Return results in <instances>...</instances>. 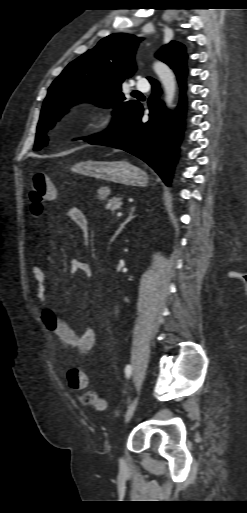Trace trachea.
Returning <instances> with one entry per match:
<instances>
[{
  "mask_svg": "<svg viewBox=\"0 0 247 513\" xmlns=\"http://www.w3.org/2000/svg\"><path fill=\"white\" fill-rule=\"evenodd\" d=\"M135 93H136V94H139V92H138V91H135Z\"/></svg>",
  "mask_w": 247,
  "mask_h": 513,
  "instance_id": "obj_1",
  "label": "trachea"
}]
</instances>
